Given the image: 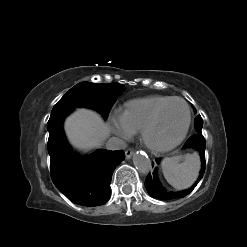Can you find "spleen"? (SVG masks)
Returning <instances> with one entry per match:
<instances>
[{
  "mask_svg": "<svg viewBox=\"0 0 247 247\" xmlns=\"http://www.w3.org/2000/svg\"><path fill=\"white\" fill-rule=\"evenodd\" d=\"M182 157H167L162 161V172L167 182L178 190L189 188L197 179L200 170V159L197 153Z\"/></svg>",
  "mask_w": 247,
  "mask_h": 247,
  "instance_id": "3e777b00",
  "label": "spleen"
}]
</instances>
